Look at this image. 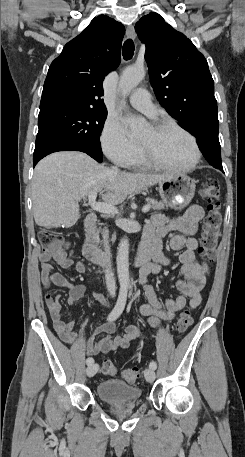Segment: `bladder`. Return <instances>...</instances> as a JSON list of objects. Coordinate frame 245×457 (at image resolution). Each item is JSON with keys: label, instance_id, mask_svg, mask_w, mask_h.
I'll return each mask as SVG.
<instances>
[{"label": "bladder", "instance_id": "31cf9c89", "mask_svg": "<svg viewBox=\"0 0 245 457\" xmlns=\"http://www.w3.org/2000/svg\"><path fill=\"white\" fill-rule=\"evenodd\" d=\"M97 397L111 405L135 402L142 396V391L121 380L101 381L96 389Z\"/></svg>", "mask_w": 245, "mask_h": 457}]
</instances>
